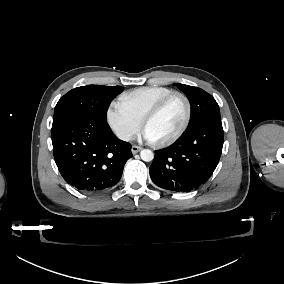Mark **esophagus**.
<instances>
[{
	"label": "esophagus",
	"mask_w": 284,
	"mask_h": 284,
	"mask_svg": "<svg viewBox=\"0 0 284 284\" xmlns=\"http://www.w3.org/2000/svg\"><path fill=\"white\" fill-rule=\"evenodd\" d=\"M141 149H142V147L137 146V145H133L131 150H132V153H133V154H136V153H138L139 151H141Z\"/></svg>",
	"instance_id": "34e87169"
}]
</instances>
